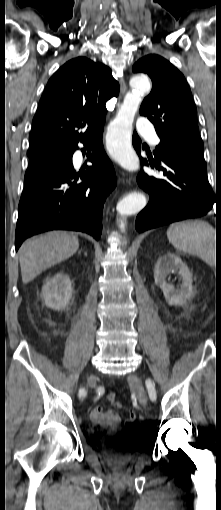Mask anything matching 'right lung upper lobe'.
<instances>
[{"label": "right lung upper lobe", "instance_id": "1", "mask_svg": "<svg viewBox=\"0 0 221 510\" xmlns=\"http://www.w3.org/2000/svg\"><path fill=\"white\" fill-rule=\"evenodd\" d=\"M119 84L102 63L77 57L50 78L40 99L29 135V151L69 149L94 134L105 122V104ZM86 127L84 133L77 129Z\"/></svg>", "mask_w": 221, "mask_h": 510}]
</instances>
